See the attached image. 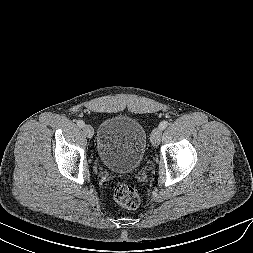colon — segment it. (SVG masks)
I'll list each match as a JSON object with an SVG mask.
<instances>
[{
  "instance_id": "5ec220e1",
  "label": "colon",
  "mask_w": 253,
  "mask_h": 253,
  "mask_svg": "<svg viewBox=\"0 0 253 253\" xmlns=\"http://www.w3.org/2000/svg\"><path fill=\"white\" fill-rule=\"evenodd\" d=\"M114 199L122 207L136 209L140 204V197L135 188L127 184H119L114 188Z\"/></svg>"
}]
</instances>
